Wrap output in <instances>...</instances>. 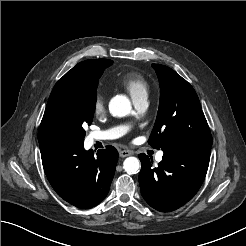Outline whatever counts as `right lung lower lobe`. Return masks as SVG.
<instances>
[{"mask_svg": "<svg viewBox=\"0 0 246 246\" xmlns=\"http://www.w3.org/2000/svg\"><path fill=\"white\" fill-rule=\"evenodd\" d=\"M77 136L51 135L39 141L45 174L57 194L79 208L99 204L108 194L118 160L113 146L97 151Z\"/></svg>", "mask_w": 246, "mask_h": 246, "instance_id": "1", "label": "right lung lower lobe"}]
</instances>
